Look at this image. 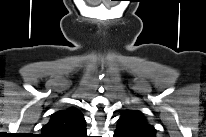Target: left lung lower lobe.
Instances as JSON below:
<instances>
[{
  "instance_id": "obj_1",
  "label": "left lung lower lobe",
  "mask_w": 206,
  "mask_h": 137,
  "mask_svg": "<svg viewBox=\"0 0 206 137\" xmlns=\"http://www.w3.org/2000/svg\"><path fill=\"white\" fill-rule=\"evenodd\" d=\"M115 136L117 137H128V135H126V134H123V133H120V132H118V131H115Z\"/></svg>"
}]
</instances>
